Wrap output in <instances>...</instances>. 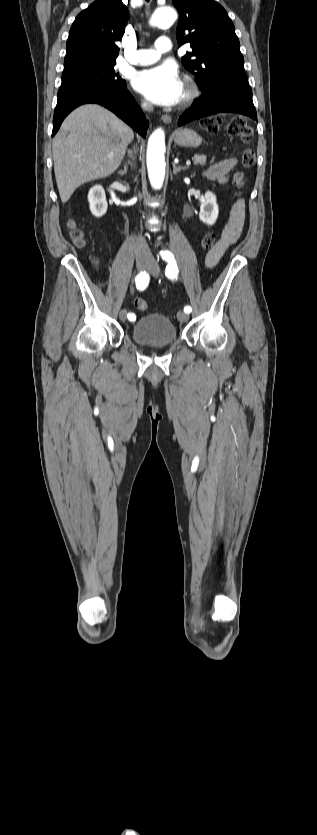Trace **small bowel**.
<instances>
[{
	"mask_svg": "<svg viewBox=\"0 0 317 835\" xmlns=\"http://www.w3.org/2000/svg\"><path fill=\"white\" fill-rule=\"evenodd\" d=\"M237 166V159L227 158L220 160L210 165L204 172L208 180L215 181L219 184L227 183L231 173ZM245 219V212L242 203L236 204L232 211L230 220L225 226L221 239L217 244L206 254L204 262L206 267H214L225 251L240 237Z\"/></svg>",
	"mask_w": 317,
	"mask_h": 835,
	"instance_id": "small-bowel-1",
	"label": "small bowel"
}]
</instances>
